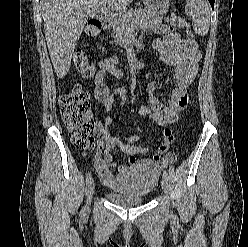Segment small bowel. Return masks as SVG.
Listing matches in <instances>:
<instances>
[{
  "mask_svg": "<svg viewBox=\"0 0 248 247\" xmlns=\"http://www.w3.org/2000/svg\"><path fill=\"white\" fill-rule=\"evenodd\" d=\"M163 36L153 41V48L160 54L161 59L168 65L174 66L173 82L167 103H163L156 95L157 82L150 81L146 90L149 94V106L140 109V113L148 114L149 117L164 127L163 141L158 147V152L150 158H137L136 154L146 153L149 146L136 145L138 136H130L127 139L115 137L107 130L112 119L106 118L103 122L96 121L95 134L98 137L94 164L100 179L106 185L115 186L116 177L113 169L116 165L113 162L112 150L118 148L121 152L129 155V163L132 166H143L153 168L166 164L167 160L174 159L172 153L163 155L174 142V134L168 124L178 118V112L187 107L190 101L189 88L192 85L198 71V62L201 58L200 49L194 40L184 39L172 29L163 26ZM118 58L111 56L99 64V71L94 78V96L96 100L105 106L110 103L109 88L105 83L106 73L118 74ZM127 167L117 166L122 173Z\"/></svg>",
  "mask_w": 248,
  "mask_h": 247,
  "instance_id": "obj_1",
  "label": "small bowel"
}]
</instances>
